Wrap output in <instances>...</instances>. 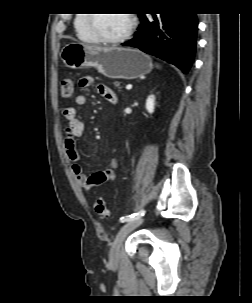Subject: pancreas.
Masks as SVG:
<instances>
[{"label":"pancreas","instance_id":"1","mask_svg":"<svg viewBox=\"0 0 252 303\" xmlns=\"http://www.w3.org/2000/svg\"><path fill=\"white\" fill-rule=\"evenodd\" d=\"M115 87H118L120 89V83L119 82H114Z\"/></svg>","mask_w":252,"mask_h":303}]
</instances>
